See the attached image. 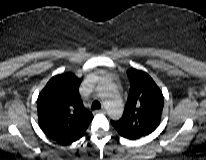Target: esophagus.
<instances>
[{"label": "esophagus", "instance_id": "esophagus-1", "mask_svg": "<svg viewBox=\"0 0 206 160\" xmlns=\"http://www.w3.org/2000/svg\"><path fill=\"white\" fill-rule=\"evenodd\" d=\"M97 112H100V113H105V112H106V110H105V108H104V107H102L101 109L97 110Z\"/></svg>", "mask_w": 206, "mask_h": 160}]
</instances>
